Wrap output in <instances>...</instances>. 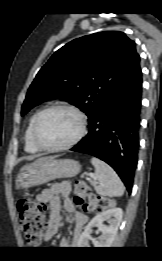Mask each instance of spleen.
<instances>
[{
  "mask_svg": "<svg viewBox=\"0 0 162 261\" xmlns=\"http://www.w3.org/2000/svg\"><path fill=\"white\" fill-rule=\"evenodd\" d=\"M91 163L95 168L94 178L98 180V185H95L97 194L109 197L122 196L125 187L116 172L98 158H91Z\"/></svg>",
  "mask_w": 162,
  "mask_h": 261,
  "instance_id": "obj_1",
  "label": "spleen"
}]
</instances>
